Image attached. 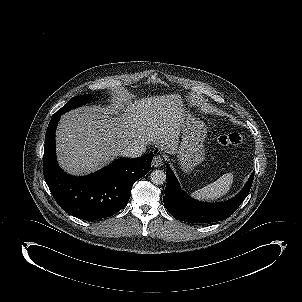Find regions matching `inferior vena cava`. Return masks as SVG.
<instances>
[{
    "instance_id": "602c4592",
    "label": "inferior vena cava",
    "mask_w": 302,
    "mask_h": 302,
    "mask_svg": "<svg viewBox=\"0 0 302 302\" xmlns=\"http://www.w3.org/2000/svg\"><path fill=\"white\" fill-rule=\"evenodd\" d=\"M146 151L145 146L135 145L132 147H126L121 151V155L127 158L140 157Z\"/></svg>"
}]
</instances>
